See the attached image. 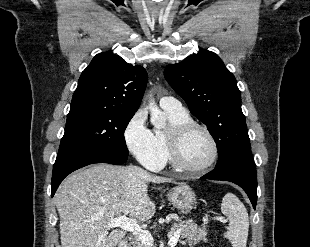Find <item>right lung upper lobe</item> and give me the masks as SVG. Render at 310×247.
Listing matches in <instances>:
<instances>
[{"mask_svg":"<svg viewBox=\"0 0 310 247\" xmlns=\"http://www.w3.org/2000/svg\"><path fill=\"white\" fill-rule=\"evenodd\" d=\"M142 66L128 64L111 52L97 54L82 72L71 109L137 111L147 84Z\"/></svg>","mask_w":310,"mask_h":247,"instance_id":"cb5924a9","label":"right lung upper lobe"}]
</instances>
